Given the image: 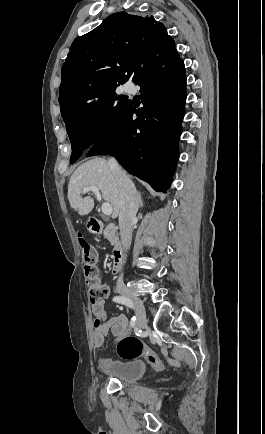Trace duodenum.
Segmentation results:
<instances>
[{"label": "duodenum", "mask_w": 265, "mask_h": 434, "mask_svg": "<svg viewBox=\"0 0 265 434\" xmlns=\"http://www.w3.org/2000/svg\"><path fill=\"white\" fill-rule=\"evenodd\" d=\"M88 229L91 232H99L103 233L113 245H115V237L117 233V228L114 224H103L98 223L97 219L90 218L87 221ZM125 256V250L122 247L117 246L113 252V261H112V272L118 273L123 266V260Z\"/></svg>", "instance_id": "obj_1"}]
</instances>
